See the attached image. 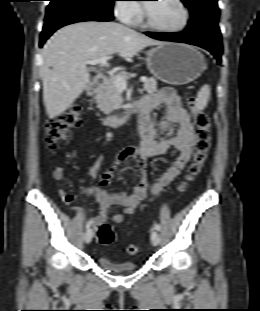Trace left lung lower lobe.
<instances>
[{"label":"left lung lower lobe","mask_w":260,"mask_h":311,"mask_svg":"<svg viewBox=\"0 0 260 311\" xmlns=\"http://www.w3.org/2000/svg\"><path fill=\"white\" fill-rule=\"evenodd\" d=\"M152 38L164 41L183 42L191 45L200 46L210 51L218 63H221L222 43L221 35L206 31H196L186 29L178 33H153L146 32Z\"/></svg>","instance_id":"0a47b994"}]
</instances>
